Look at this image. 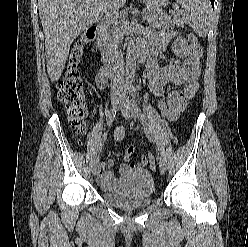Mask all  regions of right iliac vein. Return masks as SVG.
Instances as JSON below:
<instances>
[{"mask_svg": "<svg viewBox=\"0 0 248 247\" xmlns=\"http://www.w3.org/2000/svg\"><path fill=\"white\" fill-rule=\"evenodd\" d=\"M119 102H120V96H114L111 98V104L113 107H116L119 104ZM99 162H100V158L99 156H97L93 161V167H92V173L94 175H96L99 170Z\"/></svg>", "mask_w": 248, "mask_h": 247, "instance_id": "1", "label": "right iliac vein"}]
</instances>
